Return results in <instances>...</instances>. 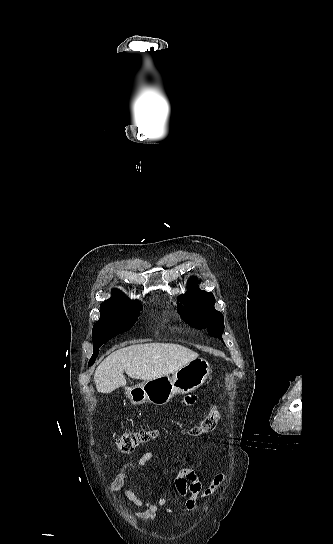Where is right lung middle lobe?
Segmentation results:
<instances>
[{
	"label": "right lung middle lobe",
	"instance_id": "dd1d6c3e",
	"mask_svg": "<svg viewBox=\"0 0 333 544\" xmlns=\"http://www.w3.org/2000/svg\"><path fill=\"white\" fill-rule=\"evenodd\" d=\"M142 305L137 300H125L102 303L100 319L94 324L92 338L94 343L93 355L89 365H93L99 348L111 338L128 331L138 319Z\"/></svg>",
	"mask_w": 333,
	"mask_h": 544
}]
</instances>
